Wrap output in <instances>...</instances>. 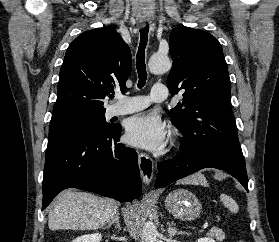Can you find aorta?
<instances>
[{
  "mask_svg": "<svg viewBox=\"0 0 279 242\" xmlns=\"http://www.w3.org/2000/svg\"><path fill=\"white\" fill-rule=\"evenodd\" d=\"M148 67L150 72L154 74H161L170 70L171 62L168 56L156 53L149 59ZM156 238V225L151 221L146 222L141 233L142 242H156Z\"/></svg>",
  "mask_w": 279,
  "mask_h": 242,
  "instance_id": "obj_1",
  "label": "aorta"
}]
</instances>
